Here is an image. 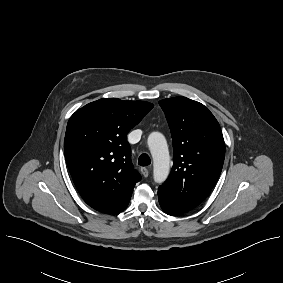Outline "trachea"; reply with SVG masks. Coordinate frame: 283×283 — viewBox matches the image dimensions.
<instances>
[{
	"mask_svg": "<svg viewBox=\"0 0 283 283\" xmlns=\"http://www.w3.org/2000/svg\"><path fill=\"white\" fill-rule=\"evenodd\" d=\"M151 163L150 157L147 154H141L138 159L140 166H147Z\"/></svg>",
	"mask_w": 283,
	"mask_h": 283,
	"instance_id": "3493384b",
	"label": "trachea"
}]
</instances>
